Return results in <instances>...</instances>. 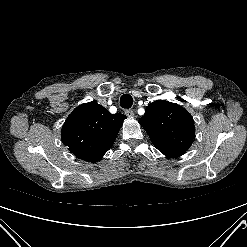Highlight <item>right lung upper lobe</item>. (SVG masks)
I'll return each mask as SVG.
<instances>
[{
	"label": "right lung upper lobe",
	"mask_w": 247,
	"mask_h": 247,
	"mask_svg": "<svg viewBox=\"0 0 247 247\" xmlns=\"http://www.w3.org/2000/svg\"><path fill=\"white\" fill-rule=\"evenodd\" d=\"M125 118L111 114L95 101L84 103L65 121L62 142L79 159L98 162L113 145Z\"/></svg>",
	"instance_id": "right-lung-upper-lobe-1"
}]
</instances>
